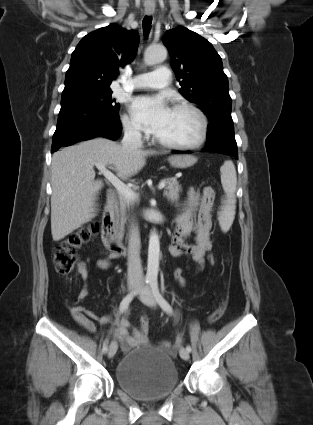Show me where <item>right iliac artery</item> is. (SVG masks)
<instances>
[{"instance_id":"82829eb1","label":"right iliac artery","mask_w":313,"mask_h":425,"mask_svg":"<svg viewBox=\"0 0 313 425\" xmlns=\"http://www.w3.org/2000/svg\"><path fill=\"white\" fill-rule=\"evenodd\" d=\"M146 284L150 283L149 279H145L144 281ZM138 293V291H133L130 294H128L127 296H125L123 298V300L120 303L119 306V314H122L124 311H126V309L128 308L130 302L133 300L134 296ZM108 339L105 340L104 344H103V352L106 353L108 350Z\"/></svg>"}]
</instances>
